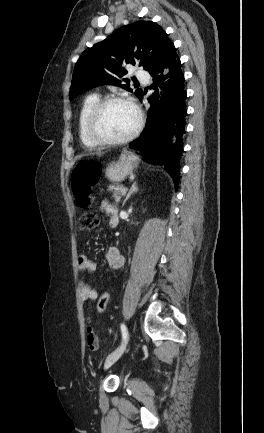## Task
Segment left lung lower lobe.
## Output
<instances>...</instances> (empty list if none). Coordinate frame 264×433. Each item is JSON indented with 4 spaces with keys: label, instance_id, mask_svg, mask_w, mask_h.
<instances>
[{
    "label": "left lung lower lobe",
    "instance_id": "1",
    "mask_svg": "<svg viewBox=\"0 0 264 433\" xmlns=\"http://www.w3.org/2000/svg\"><path fill=\"white\" fill-rule=\"evenodd\" d=\"M150 74L154 81L151 88L155 89V92L148 98L151 106L146 127L130 144L132 149L141 150V155L147 160L163 165L177 187L179 161L183 151L187 93L176 50L169 53ZM142 98L143 94L140 100Z\"/></svg>",
    "mask_w": 264,
    "mask_h": 433
}]
</instances>
